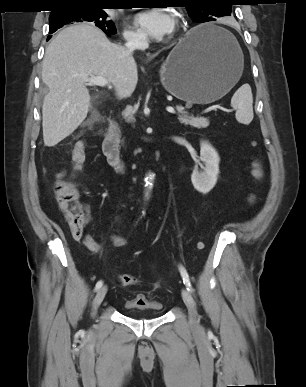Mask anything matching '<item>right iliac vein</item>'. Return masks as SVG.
<instances>
[{
    "label": "right iliac vein",
    "mask_w": 306,
    "mask_h": 387,
    "mask_svg": "<svg viewBox=\"0 0 306 387\" xmlns=\"http://www.w3.org/2000/svg\"><path fill=\"white\" fill-rule=\"evenodd\" d=\"M106 293H107L106 286H103L100 289H98L97 294H96L94 301H93V314L96 313V310L99 307V305L102 303V301L104 300Z\"/></svg>",
    "instance_id": "obj_1"
}]
</instances>
